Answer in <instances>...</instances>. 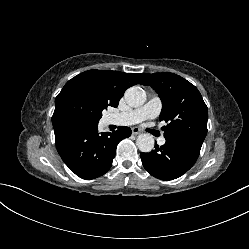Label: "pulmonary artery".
<instances>
[{
  "mask_svg": "<svg viewBox=\"0 0 249 249\" xmlns=\"http://www.w3.org/2000/svg\"><path fill=\"white\" fill-rule=\"evenodd\" d=\"M162 109V102L159 97L151 98L145 105L140 108L130 110L128 112L111 114L108 117L110 124L119 126L134 125L145 119H153L159 115ZM164 137L159 139V144H165Z\"/></svg>",
  "mask_w": 249,
  "mask_h": 249,
  "instance_id": "e3ab8cb5",
  "label": "pulmonary artery"
}]
</instances>
